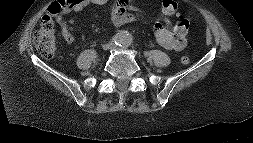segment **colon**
<instances>
[{
    "instance_id": "1",
    "label": "colon",
    "mask_w": 253,
    "mask_h": 143,
    "mask_svg": "<svg viewBox=\"0 0 253 143\" xmlns=\"http://www.w3.org/2000/svg\"><path fill=\"white\" fill-rule=\"evenodd\" d=\"M79 2V0H57L55 1L49 10V14L43 18L40 23V27L34 33L33 41L39 54L45 58H51L56 52V40L54 35V24L52 22V16H56L60 13L64 7H73ZM173 10H177V5L172 6ZM189 30V21L186 19L180 20L176 25V32L181 36H186ZM183 64L190 62V57L184 54L181 57Z\"/></svg>"
}]
</instances>
